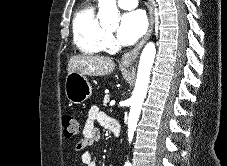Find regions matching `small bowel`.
<instances>
[{
	"label": "small bowel",
	"mask_w": 227,
	"mask_h": 166,
	"mask_svg": "<svg viewBox=\"0 0 227 166\" xmlns=\"http://www.w3.org/2000/svg\"><path fill=\"white\" fill-rule=\"evenodd\" d=\"M110 117L100 111L97 106H92L87 115L86 123L82 130V138L76 144L75 151L80 154L84 166H96V155L86 151L88 147L96 146L100 139V131L95 126L99 122L109 128Z\"/></svg>",
	"instance_id": "small-bowel-1"
}]
</instances>
